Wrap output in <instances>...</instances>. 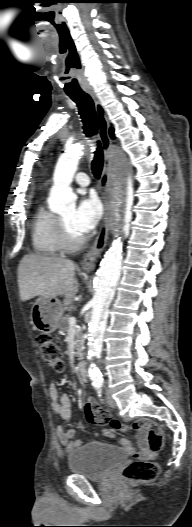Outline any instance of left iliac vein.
Masks as SVG:
<instances>
[{"label":"left iliac vein","instance_id":"1","mask_svg":"<svg viewBox=\"0 0 192 527\" xmlns=\"http://www.w3.org/2000/svg\"><path fill=\"white\" fill-rule=\"evenodd\" d=\"M106 398H107V403L110 407L112 408H115L116 407V402L115 400L111 397L110 393L107 391L106 392Z\"/></svg>","mask_w":192,"mask_h":527}]
</instances>
